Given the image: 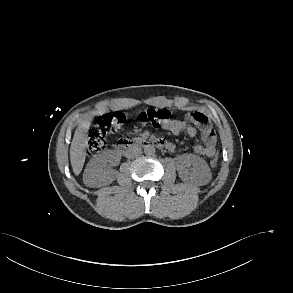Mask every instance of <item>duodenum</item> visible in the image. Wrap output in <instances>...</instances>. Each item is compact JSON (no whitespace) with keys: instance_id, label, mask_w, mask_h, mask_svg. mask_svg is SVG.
Returning a JSON list of instances; mask_svg holds the SVG:
<instances>
[{"instance_id":"1","label":"duodenum","mask_w":293,"mask_h":293,"mask_svg":"<svg viewBox=\"0 0 293 293\" xmlns=\"http://www.w3.org/2000/svg\"><path fill=\"white\" fill-rule=\"evenodd\" d=\"M140 146H143V147L154 146L159 149H164V148H167V143L161 139H152V140H147L138 144L130 139L122 138L116 142L115 149L117 152H119L122 155H131Z\"/></svg>"}]
</instances>
